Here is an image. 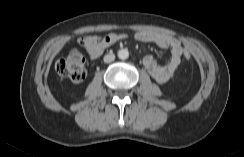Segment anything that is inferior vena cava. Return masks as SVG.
Returning a JSON list of instances; mask_svg holds the SVG:
<instances>
[{
    "label": "inferior vena cava",
    "instance_id": "1",
    "mask_svg": "<svg viewBox=\"0 0 244 157\" xmlns=\"http://www.w3.org/2000/svg\"><path fill=\"white\" fill-rule=\"evenodd\" d=\"M105 63H110L115 60V55L114 54H106L103 58Z\"/></svg>",
    "mask_w": 244,
    "mask_h": 157
}]
</instances>
